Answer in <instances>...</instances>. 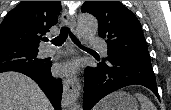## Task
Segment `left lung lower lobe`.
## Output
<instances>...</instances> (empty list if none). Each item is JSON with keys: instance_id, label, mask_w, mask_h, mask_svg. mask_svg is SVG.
I'll use <instances>...</instances> for the list:
<instances>
[{"instance_id": "obj_1", "label": "left lung lower lobe", "mask_w": 171, "mask_h": 110, "mask_svg": "<svg viewBox=\"0 0 171 110\" xmlns=\"http://www.w3.org/2000/svg\"><path fill=\"white\" fill-rule=\"evenodd\" d=\"M85 69L83 109L91 110L106 95L129 85H143L160 100L151 63L108 56Z\"/></svg>"}]
</instances>
